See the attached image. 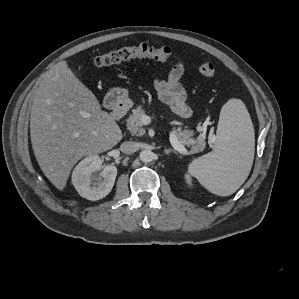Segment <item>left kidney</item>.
<instances>
[{
    "label": "left kidney",
    "mask_w": 299,
    "mask_h": 299,
    "mask_svg": "<svg viewBox=\"0 0 299 299\" xmlns=\"http://www.w3.org/2000/svg\"><path fill=\"white\" fill-rule=\"evenodd\" d=\"M186 181H187V183H188L189 185H191V179H190V177H189L188 175H186Z\"/></svg>",
    "instance_id": "obj_1"
}]
</instances>
